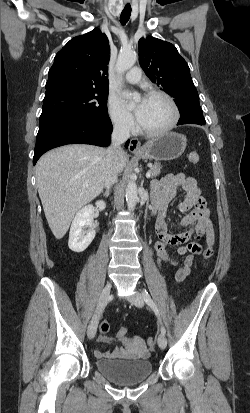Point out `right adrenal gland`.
<instances>
[{"mask_svg":"<svg viewBox=\"0 0 250 413\" xmlns=\"http://www.w3.org/2000/svg\"><path fill=\"white\" fill-rule=\"evenodd\" d=\"M109 193H110L109 190L105 191V192H104V196H105V197H108V196H109Z\"/></svg>","mask_w":250,"mask_h":413,"instance_id":"obj_1","label":"right adrenal gland"}]
</instances>
